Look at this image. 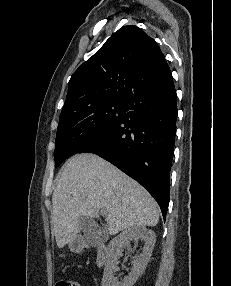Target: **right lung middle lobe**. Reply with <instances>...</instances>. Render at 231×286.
Masks as SVG:
<instances>
[{"mask_svg": "<svg viewBox=\"0 0 231 286\" xmlns=\"http://www.w3.org/2000/svg\"><path fill=\"white\" fill-rule=\"evenodd\" d=\"M124 101H107L60 117L55 167L100 137L124 115Z\"/></svg>", "mask_w": 231, "mask_h": 286, "instance_id": "dd1d6c3e", "label": "right lung middle lobe"}]
</instances>
